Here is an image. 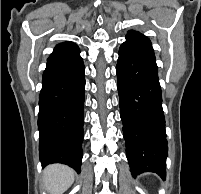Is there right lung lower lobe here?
I'll use <instances>...</instances> for the list:
<instances>
[{
	"mask_svg": "<svg viewBox=\"0 0 201 194\" xmlns=\"http://www.w3.org/2000/svg\"><path fill=\"white\" fill-rule=\"evenodd\" d=\"M82 58L47 64L39 96V157L42 166L66 164L80 172L84 115Z\"/></svg>",
	"mask_w": 201,
	"mask_h": 194,
	"instance_id": "right-lung-lower-lobe-1",
	"label": "right lung lower lobe"
}]
</instances>
